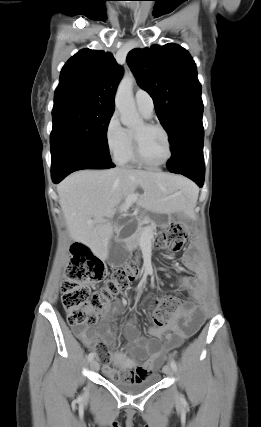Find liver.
I'll return each mask as SVG.
<instances>
[{"instance_id": "liver-1", "label": "liver", "mask_w": 261, "mask_h": 427, "mask_svg": "<svg viewBox=\"0 0 261 427\" xmlns=\"http://www.w3.org/2000/svg\"><path fill=\"white\" fill-rule=\"evenodd\" d=\"M138 187L144 192L137 194V205L150 212H188L195 206L193 193L197 189L182 176L125 168L80 170L57 186L59 204L71 238L105 260L113 235L109 219L115 207ZM89 220L93 224H89Z\"/></svg>"}]
</instances>
